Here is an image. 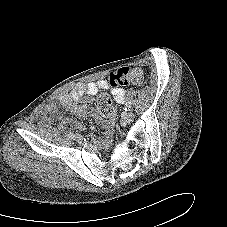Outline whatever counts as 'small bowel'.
Returning <instances> with one entry per match:
<instances>
[{
  "mask_svg": "<svg viewBox=\"0 0 227 227\" xmlns=\"http://www.w3.org/2000/svg\"><path fill=\"white\" fill-rule=\"evenodd\" d=\"M109 89L110 85L107 79L75 85L69 92L62 94L56 102H51L44 107L43 123L48 125L62 120L65 124L71 127H75L81 131L85 130V126L82 123L73 121L69 118L63 119L61 114L57 111V107L59 106L77 116L90 117L109 131L116 116L115 107L111 106L106 113H101L85 104V102L89 101V97L96 95L100 90ZM111 93L116 103L124 104V89L112 88ZM80 101H83L84 103L81 104L79 103Z\"/></svg>",
  "mask_w": 227,
  "mask_h": 227,
  "instance_id": "1",
  "label": "small bowel"
}]
</instances>
